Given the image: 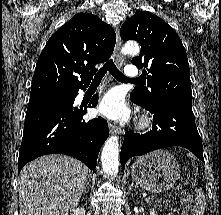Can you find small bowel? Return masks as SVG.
Returning a JSON list of instances; mask_svg holds the SVG:
<instances>
[{"instance_id": "obj_1", "label": "small bowel", "mask_w": 221, "mask_h": 215, "mask_svg": "<svg viewBox=\"0 0 221 215\" xmlns=\"http://www.w3.org/2000/svg\"><path fill=\"white\" fill-rule=\"evenodd\" d=\"M167 215H174V214H172V213H169V214H167Z\"/></svg>"}]
</instances>
